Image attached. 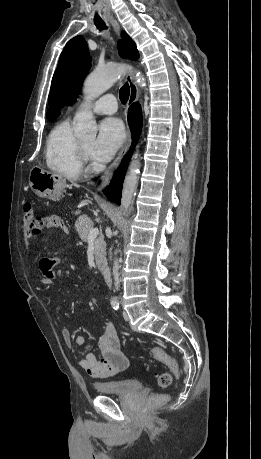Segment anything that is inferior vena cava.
Here are the masks:
<instances>
[{
    "label": "inferior vena cava",
    "instance_id": "obj_1",
    "mask_svg": "<svg viewBox=\"0 0 261 459\" xmlns=\"http://www.w3.org/2000/svg\"><path fill=\"white\" fill-rule=\"evenodd\" d=\"M119 265L118 261H114V266H113V275L115 279V285L118 288L119 287V273H118Z\"/></svg>",
    "mask_w": 261,
    "mask_h": 459
}]
</instances>
